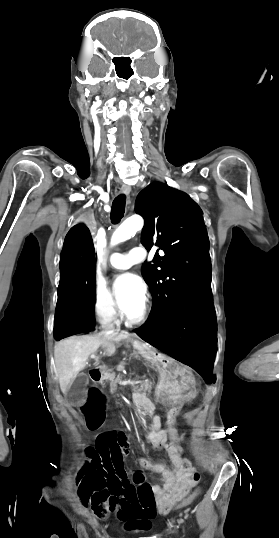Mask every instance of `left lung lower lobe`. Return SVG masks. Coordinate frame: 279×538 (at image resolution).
<instances>
[{
    "instance_id": "left-lung-lower-lobe-1",
    "label": "left lung lower lobe",
    "mask_w": 279,
    "mask_h": 538,
    "mask_svg": "<svg viewBox=\"0 0 279 538\" xmlns=\"http://www.w3.org/2000/svg\"><path fill=\"white\" fill-rule=\"evenodd\" d=\"M134 331L146 342L194 368L207 382H213L217 335L211 287L186 299L163 324L151 328L143 325Z\"/></svg>"
}]
</instances>
